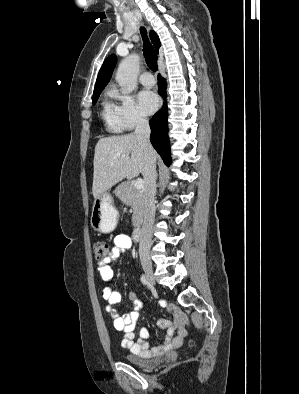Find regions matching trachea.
Wrapping results in <instances>:
<instances>
[{"label":"trachea","instance_id":"3493384b","mask_svg":"<svg viewBox=\"0 0 299 394\" xmlns=\"http://www.w3.org/2000/svg\"><path fill=\"white\" fill-rule=\"evenodd\" d=\"M140 32L143 38V53L145 56L146 63L148 67L155 72L158 69L157 55L155 53L153 46L148 40L146 29L144 27H141Z\"/></svg>","mask_w":299,"mask_h":394}]
</instances>
